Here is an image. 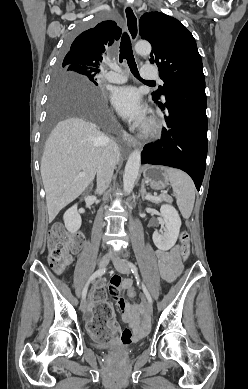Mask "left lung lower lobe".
<instances>
[{
	"instance_id": "obj_1",
	"label": "left lung lower lobe",
	"mask_w": 248,
	"mask_h": 389,
	"mask_svg": "<svg viewBox=\"0 0 248 389\" xmlns=\"http://www.w3.org/2000/svg\"><path fill=\"white\" fill-rule=\"evenodd\" d=\"M167 128L162 138L144 146L141 163L179 168L193 179L200 190L207 157V116L205 79L182 82L165 95Z\"/></svg>"
}]
</instances>
